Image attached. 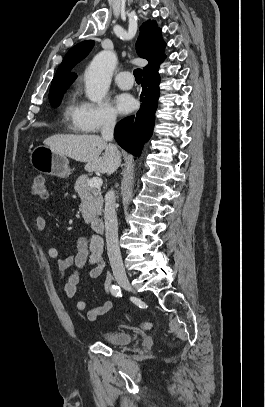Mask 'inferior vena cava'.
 I'll return each instance as SVG.
<instances>
[{
  "mask_svg": "<svg viewBox=\"0 0 265 407\" xmlns=\"http://www.w3.org/2000/svg\"><path fill=\"white\" fill-rule=\"evenodd\" d=\"M115 124L116 117L110 113L106 114L101 129V135L105 141L113 140ZM104 220L106 229L107 251L113 274L116 278H125L126 273L123 266L118 243V224L115 211V193L113 190L108 191L105 196Z\"/></svg>",
  "mask_w": 265,
  "mask_h": 407,
  "instance_id": "obj_1",
  "label": "inferior vena cava"
}]
</instances>
